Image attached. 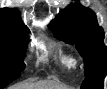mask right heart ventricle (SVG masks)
Here are the masks:
<instances>
[{
	"label": "right heart ventricle",
	"mask_w": 107,
	"mask_h": 89,
	"mask_svg": "<svg viewBox=\"0 0 107 89\" xmlns=\"http://www.w3.org/2000/svg\"><path fill=\"white\" fill-rule=\"evenodd\" d=\"M57 58L62 66L71 69L75 66V58L73 54L63 47L58 48Z\"/></svg>",
	"instance_id": "right-heart-ventricle-1"
}]
</instances>
